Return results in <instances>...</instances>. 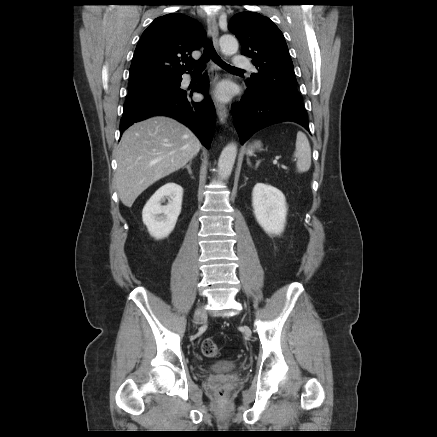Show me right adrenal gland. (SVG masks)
<instances>
[{
	"label": "right adrenal gland",
	"mask_w": 437,
	"mask_h": 437,
	"mask_svg": "<svg viewBox=\"0 0 437 437\" xmlns=\"http://www.w3.org/2000/svg\"><path fill=\"white\" fill-rule=\"evenodd\" d=\"M191 164H192V161H190L189 164H187V165L185 166V168H187L188 173H189L190 175H192Z\"/></svg>",
	"instance_id": "1"
}]
</instances>
